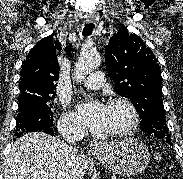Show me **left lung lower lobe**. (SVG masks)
Masks as SVG:
<instances>
[{"instance_id":"obj_1","label":"left lung lower lobe","mask_w":183,"mask_h":179,"mask_svg":"<svg viewBox=\"0 0 183 179\" xmlns=\"http://www.w3.org/2000/svg\"><path fill=\"white\" fill-rule=\"evenodd\" d=\"M164 141H166L168 144H170V145H173L172 144V142H171V139H166V140H164Z\"/></svg>"}]
</instances>
